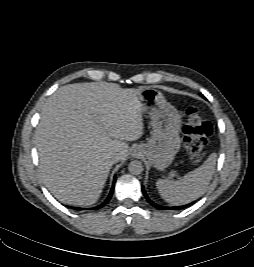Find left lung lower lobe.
I'll list each match as a JSON object with an SVG mask.
<instances>
[{"label": "left lung lower lobe", "instance_id": "0a47b994", "mask_svg": "<svg viewBox=\"0 0 254 267\" xmlns=\"http://www.w3.org/2000/svg\"><path fill=\"white\" fill-rule=\"evenodd\" d=\"M142 192H143V194H144L146 200L148 201V203H150L152 206H154L155 208H157V209H159V210L183 209V208H185V207L191 205V203H190V204H188V205H183V206H179V207H165V206H161V205H158V204L154 203L152 200H150V198L147 196V194H146V192H145L144 187H142Z\"/></svg>", "mask_w": 254, "mask_h": 267}]
</instances>
